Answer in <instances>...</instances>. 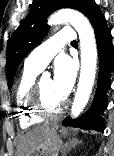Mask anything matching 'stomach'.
Wrapping results in <instances>:
<instances>
[{
  "label": "stomach",
  "mask_w": 114,
  "mask_h": 156,
  "mask_svg": "<svg viewBox=\"0 0 114 156\" xmlns=\"http://www.w3.org/2000/svg\"><path fill=\"white\" fill-rule=\"evenodd\" d=\"M68 131L64 127L53 124L39 147L31 156H58L63 147L62 137L67 135Z\"/></svg>",
  "instance_id": "stomach-1"
}]
</instances>
